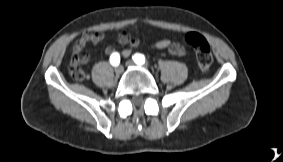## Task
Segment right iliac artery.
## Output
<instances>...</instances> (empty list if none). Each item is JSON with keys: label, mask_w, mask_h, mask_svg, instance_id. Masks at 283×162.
Returning <instances> with one entry per match:
<instances>
[{"label": "right iliac artery", "mask_w": 283, "mask_h": 162, "mask_svg": "<svg viewBox=\"0 0 283 162\" xmlns=\"http://www.w3.org/2000/svg\"><path fill=\"white\" fill-rule=\"evenodd\" d=\"M110 63L113 66L119 65V63H120V55H119V53L115 52V53L111 54V56H110Z\"/></svg>", "instance_id": "obj_1"}]
</instances>
